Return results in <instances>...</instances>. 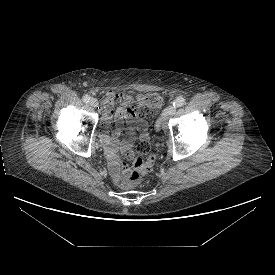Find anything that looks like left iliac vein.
Instances as JSON below:
<instances>
[{
    "mask_svg": "<svg viewBox=\"0 0 275 275\" xmlns=\"http://www.w3.org/2000/svg\"><path fill=\"white\" fill-rule=\"evenodd\" d=\"M175 113V107L173 105H169L166 107L160 117L161 125L164 130L168 129V119Z\"/></svg>",
    "mask_w": 275,
    "mask_h": 275,
    "instance_id": "1",
    "label": "left iliac vein"
}]
</instances>
